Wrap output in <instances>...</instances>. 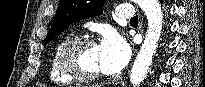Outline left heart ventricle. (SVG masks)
I'll list each match as a JSON object with an SVG mask.
<instances>
[{"mask_svg":"<svg viewBox=\"0 0 205 87\" xmlns=\"http://www.w3.org/2000/svg\"><path fill=\"white\" fill-rule=\"evenodd\" d=\"M75 64L81 73L93 75L101 71L97 46H87L79 50L75 57Z\"/></svg>","mask_w":205,"mask_h":87,"instance_id":"left-heart-ventricle-1","label":"left heart ventricle"}]
</instances>
